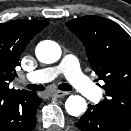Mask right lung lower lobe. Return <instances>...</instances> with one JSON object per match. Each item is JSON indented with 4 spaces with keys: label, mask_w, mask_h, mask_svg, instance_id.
<instances>
[{
    "label": "right lung lower lobe",
    "mask_w": 131,
    "mask_h": 131,
    "mask_svg": "<svg viewBox=\"0 0 131 131\" xmlns=\"http://www.w3.org/2000/svg\"><path fill=\"white\" fill-rule=\"evenodd\" d=\"M41 102L32 91L0 94V131H32Z\"/></svg>",
    "instance_id": "1"
}]
</instances>
